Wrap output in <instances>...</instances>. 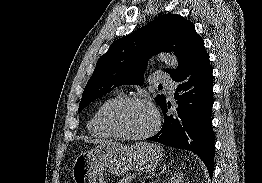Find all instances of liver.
Here are the masks:
<instances>
[{
	"label": "liver",
	"mask_w": 262,
	"mask_h": 183,
	"mask_svg": "<svg viewBox=\"0 0 262 183\" xmlns=\"http://www.w3.org/2000/svg\"><path fill=\"white\" fill-rule=\"evenodd\" d=\"M86 142L98 144V143H102V142H105V141H104V140H88V141H86Z\"/></svg>",
	"instance_id": "1"
}]
</instances>
